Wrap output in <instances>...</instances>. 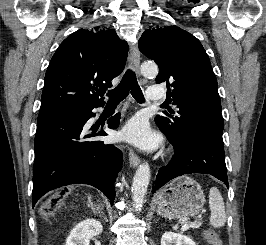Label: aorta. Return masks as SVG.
Here are the masks:
<instances>
[{
	"label": "aorta",
	"instance_id": "aorta-1",
	"mask_svg": "<svg viewBox=\"0 0 266 245\" xmlns=\"http://www.w3.org/2000/svg\"><path fill=\"white\" fill-rule=\"evenodd\" d=\"M142 74L144 76H156L158 74L157 64H151V66H142ZM151 177V171L148 163H142L138 167L132 183V201L136 211H141L143 203L145 201L149 181Z\"/></svg>",
	"mask_w": 266,
	"mask_h": 245
}]
</instances>
